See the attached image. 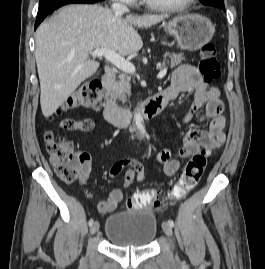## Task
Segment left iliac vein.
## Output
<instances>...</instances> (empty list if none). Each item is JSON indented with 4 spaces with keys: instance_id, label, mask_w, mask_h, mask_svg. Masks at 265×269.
Here are the masks:
<instances>
[{
    "instance_id": "obj_1",
    "label": "left iliac vein",
    "mask_w": 265,
    "mask_h": 269,
    "mask_svg": "<svg viewBox=\"0 0 265 269\" xmlns=\"http://www.w3.org/2000/svg\"><path fill=\"white\" fill-rule=\"evenodd\" d=\"M162 228H163L164 233H165L167 236H169V237L172 236V227L169 225V223L164 222V223L162 224Z\"/></svg>"
}]
</instances>
